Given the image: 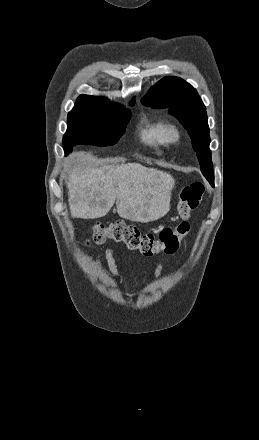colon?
Listing matches in <instances>:
<instances>
[{
	"label": "colon",
	"instance_id": "1",
	"mask_svg": "<svg viewBox=\"0 0 259 440\" xmlns=\"http://www.w3.org/2000/svg\"><path fill=\"white\" fill-rule=\"evenodd\" d=\"M203 193L202 183L183 187L177 205L180 221L174 227L163 229L158 235L143 233L135 226L127 225L122 221L108 225L98 223L93 228L90 243L101 244L106 240L122 242L128 248L149 257L160 253L173 254L179 249L182 239L190 230L191 212L200 203Z\"/></svg>",
	"mask_w": 259,
	"mask_h": 440
}]
</instances>
